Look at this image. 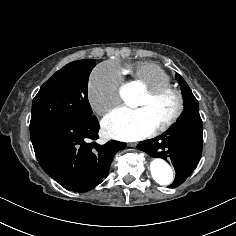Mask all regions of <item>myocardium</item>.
<instances>
[{
	"instance_id": "f54148a6",
	"label": "myocardium",
	"mask_w": 236,
	"mask_h": 236,
	"mask_svg": "<svg viewBox=\"0 0 236 236\" xmlns=\"http://www.w3.org/2000/svg\"><path fill=\"white\" fill-rule=\"evenodd\" d=\"M150 102H156L165 96H171L175 101V108L169 118L160 126L154 129V133L161 134L171 129L183 116L185 111V98L181 90L172 86L164 85L152 90H146Z\"/></svg>"
}]
</instances>
